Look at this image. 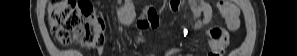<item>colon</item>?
Wrapping results in <instances>:
<instances>
[{"label": "colon", "instance_id": "colon-1", "mask_svg": "<svg viewBox=\"0 0 297 56\" xmlns=\"http://www.w3.org/2000/svg\"><path fill=\"white\" fill-rule=\"evenodd\" d=\"M48 19L51 33L62 45L76 42L86 48H100L104 44L102 14L88 1L51 0Z\"/></svg>", "mask_w": 297, "mask_h": 56}]
</instances>
